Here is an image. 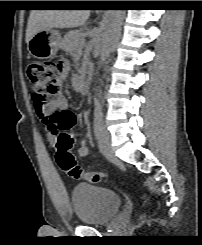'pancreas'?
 Wrapping results in <instances>:
<instances>
[{"label":"pancreas","instance_id":"1","mask_svg":"<svg viewBox=\"0 0 202 245\" xmlns=\"http://www.w3.org/2000/svg\"><path fill=\"white\" fill-rule=\"evenodd\" d=\"M82 34L80 31L75 30L67 33L61 42V48L67 52L72 53L82 47Z\"/></svg>","mask_w":202,"mask_h":245}]
</instances>
